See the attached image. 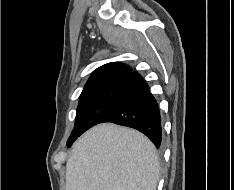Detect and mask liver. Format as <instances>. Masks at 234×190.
<instances>
[{
    "instance_id": "1",
    "label": "liver",
    "mask_w": 234,
    "mask_h": 190,
    "mask_svg": "<svg viewBox=\"0 0 234 190\" xmlns=\"http://www.w3.org/2000/svg\"><path fill=\"white\" fill-rule=\"evenodd\" d=\"M160 164L142 133L97 125L75 142L66 164V190H156Z\"/></svg>"
}]
</instances>
